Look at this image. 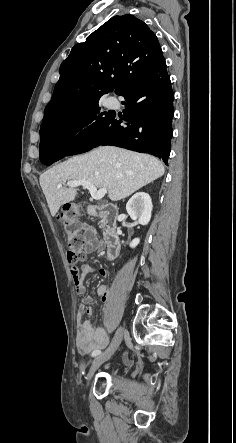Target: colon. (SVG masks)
I'll list each match as a JSON object with an SVG mask.
<instances>
[{"mask_svg":"<svg viewBox=\"0 0 236 443\" xmlns=\"http://www.w3.org/2000/svg\"><path fill=\"white\" fill-rule=\"evenodd\" d=\"M75 211L71 206H66L57 216L58 221L65 226L66 258L69 263L76 264L85 258L83 239L80 234L82 224L74 219ZM76 267V266H73ZM78 268V267H77Z\"/></svg>","mask_w":236,"mask_h":443,"instance_id":"colon-1","label":"colon"}]
</instances>
